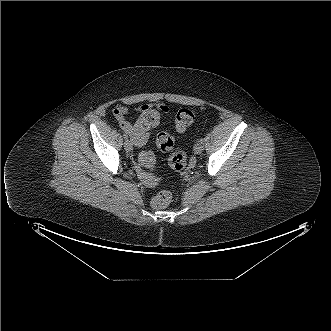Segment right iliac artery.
Listing matches in <instances>:
<instances>
[{
	"label": "right iliac artery",
	"instance_id": "82829eb1",
	"mask_svg": "<svg viewBox=\"0 0 331 331\" xmlns=\"http://www.w3.org/2000/svg\"><path fill=\"white\" fill-rule=\"evenodd\" d=\"M124 139L128 140L127 134H123Z\"/></svg>",
	"mask_w": 331,
	"mask_h": 331
}]
</instances>
